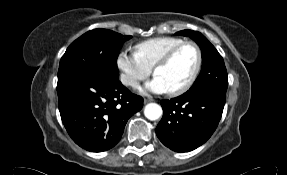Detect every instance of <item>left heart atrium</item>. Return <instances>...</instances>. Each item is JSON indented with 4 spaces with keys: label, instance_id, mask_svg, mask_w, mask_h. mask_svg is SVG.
<instances>
[{
    "label": "left heart atrium",
    "instance_id": "1",
    "mask_svg": "<svg viewBox=\"0 0 287 175\" xmlns=\"http://www.w3.org/2000/svg\"><path fill=\"white\" fill-rule=\"evenodd\" d=\"M142 91H149V92L161 94V93H167L169 89L160 77L155 76L151 81H149L144 86Z\"/></svg>",
    "mask_w": 287,
    "mask_h": 175
}]
</instances>
